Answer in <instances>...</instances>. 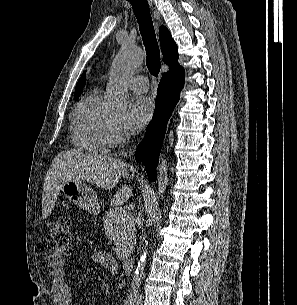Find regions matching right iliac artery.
<instances>
[{
  "label": "right iliac artery",
  "instance_id": "right-iliac-artery-1",
  "mask_svg": "<svg viewBox=\"0 0 297 305\" xmlns=\"http://www.w3.org/2000/svg\"><path fill=\"white\" fill-rule=\"evenodd\" d=\"M134 302H135L134 297L129 296V297L126 298L124 305H134Z\"/></svg>",
  "mask_w": 297,
  "mask_h": 305
}]
</instances>
